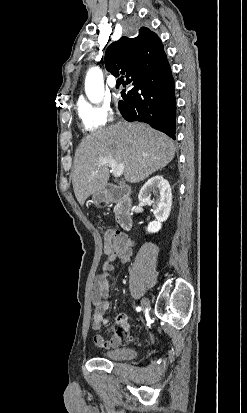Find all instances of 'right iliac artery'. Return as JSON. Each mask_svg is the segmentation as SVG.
<instances>
[{"instance_id":"82829eb1","label":"right iliac artery","mask_w":247,"mask_h":413,"mask_svg":"<svg viewBox=\"0 0 247 413\" xmlns=\"http://www.w3.org/2000/svg\"><path fill=\"white\" fill-rule=\"evenodd\" d=\"M136 310H137V311H140V310H141V308H140V307H137V308H136Z\"/></svg>"}]
</instances>
